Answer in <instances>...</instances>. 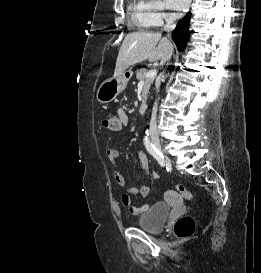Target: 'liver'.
Segmentation results:
<instances>
[{
  "label": "liver",
  "mask_w": 261,
  "mask_h": 273,
  "mask_svg": "<svg viewBox=\"0 0 261 273\" xmlns=\"http://www.w3.org/2000/svg\"><path fill=\"white\" fill-rule=\"evenodd\" d=\"M173 45L160 32H135L128 34L118 53L113 77L120 76L128 67L145 60L155 62L172 55Z\"/></svg>",
  "instance_id": "liver-1"
}]
</instances>
